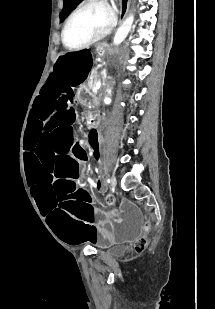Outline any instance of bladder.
Segmentation results:
<instances>
[{"label":"bladder","mask_w":215,"mask_h":309,"mask_svg":"<svg viewBox=\"0 0 215 309\" xmlns=\"http://www.w3.org/2000/svg\"><path fill=\"white\" fill-rule=\"evenodd\" d=\"M123 251L121 249H115L112 251L113 255H120Z\"/></svg>","instance_id":"1"}]
</instances>
